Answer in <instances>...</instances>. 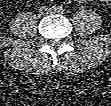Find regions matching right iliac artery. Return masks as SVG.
<instances>
[{
  "instance_id": "obj_1",
  "label": "right iliac artery",
  "mask_w": 111,
  "mask_h": 106,
  "mask_svg": "<svg viewBox=\"0 0 111 106\" xmlns=\"http://www.w3.org/2000/svg\"><path fill=\"white\" fill-rule=\"evenodd\" d=\"M52 9H53V10H57V9H58V6L53 5V6H52Z\"/></svg>"
}]
</instances>
